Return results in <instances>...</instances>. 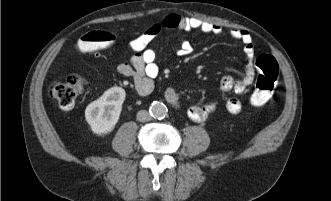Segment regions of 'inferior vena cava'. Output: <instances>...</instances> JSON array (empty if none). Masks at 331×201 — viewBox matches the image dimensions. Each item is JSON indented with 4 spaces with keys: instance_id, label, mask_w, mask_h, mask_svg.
I'll list each match as a JSON object with an SVG mask.
<instances>
[{
    "instance_id": "obj_1",
    "label": "inferior vena cava",
    "mask_w": 331,
    "mask_h": 201,
    "mask_svg": "<svg viewBox=\"0 0 331 201\" xmlns=\"http://www.w3.org/2000/svg\"><path fill=\"white\" fill-rule=\"evenodd\" d=\"M152 119L150 113L147 110H140L137 113V120L140 122H147Z\"/></svg>"
}]
</instances>
